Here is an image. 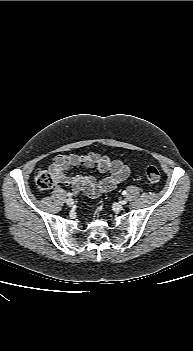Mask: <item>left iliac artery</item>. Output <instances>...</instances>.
Listing matches in <instances>:
<instances>
[{"mask_svg": "<svg viewBox=\"0 0 193 351\" xmlns=\"http://www.w3.org/2000/svg\"><path fill=\"white\" fill-rule=\"evenodd\" d=\"M126 193H127L126 191H123V192H122V195H126Z\"/></svg>", "mask_w": 193, "mask_h": 351, "instance_id": "44dca946", "label": "left iliac artery"}]
</instances>
